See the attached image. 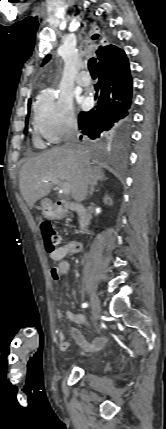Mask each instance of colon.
<instances>
[{"instance_id": "1", "label": "colon", "mask_w": 166, "mask_h": 429, "mask_svg": "<svg viewBox=\"0 0 166 429\" xmlns=\"http://www.w3.org/2000/svg\"><path fill=\"white\" fill-rule=\"evenodd\" d=\"M40 230L44 240V246L47 252L51 253L59 248L62 242V236L58 233L51 223L47 220L42 221Z\"/></svg>"}]
</instances>
